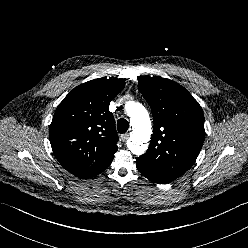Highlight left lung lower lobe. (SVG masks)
Instances as JSON below:
<instances>
[{
    "label": "left lung lower lobe",
    "instance_id": "1",
    "mask_svg": "<svg viewBox=\"0 0 248 248\" xmlns=\"http://www.w3.org/2000/svg\"><path fill=\"white\" fill-rule=\"evenodd\" d=\"M136 165H137V168L140 171V173H142L150 181L155 182V183H168V182H170L166 178L148 171L147 168L144 167L143 164L138 160L136 161Z\"/></svg>",
    "mask_w": 248,
    "mask_h": 248
}]
</instances>
